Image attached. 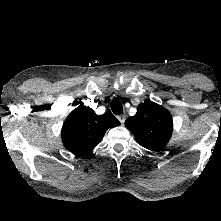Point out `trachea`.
I'll use <instances>...</instances> for the list:
<instances>
[{
	"label": "trachea",
	"instance_id": "3493384b",
	"mask_svg": "<svg viewBox=\"0 0 221 221\" xmlns=\"http://www.w3.org/2000/svg\"><path fill=\"white\" fill-rule=\"evenodd\" d=\"M111 109H112V112L116 115H120L123 113V106L120 103V101L117 99H114L111 101Z\"/></svg>",
	"mask_w": 221,
	"mask_h": 221
}]
</instances>
